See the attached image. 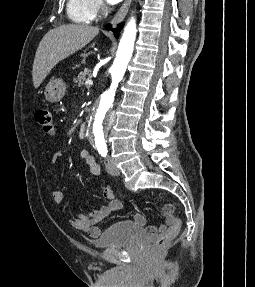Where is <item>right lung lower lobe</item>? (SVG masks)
Instances as JSON below:
<instances>
[{
	"label": "right lung lower lobe",
	"mask_w": 255,
	"mask_h": 287,
	"mask_svg": "<svg viewBox=\"0 0 255 287\" xmlns=\"http://www.w3.org/2000/svg\"><path fill=\"white\" fill-rule=\"evenodd\" d=\"M121 28H122V24L118 25V27L115 29H111L114 32V34H116L115 35L116 38H118L117 34L120 32ZM106 29H110V25H106Z\"/></svg>",
	"instance_id": "right-lung-lower-lobe-1"
}]
</instances>
